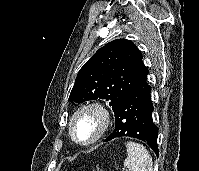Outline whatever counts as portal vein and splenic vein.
Returning <instances> with one entry per match:
<instances>
[{
	"label": "portal vein and splenic vein",
	"mask_w": 199,
	"mask_h": 171,
	"mask_svg": "<svg viewBox=\"0 0 199 171\" xmlns=\"http://www.w3.org/2000/svg\"><path fill=\"white\" fill-rule=\"evenodd\" d=\"M122 171H128V169H123Z\"/></svg>",
	"instance_id": "18ae733b"
}]
</instances>
